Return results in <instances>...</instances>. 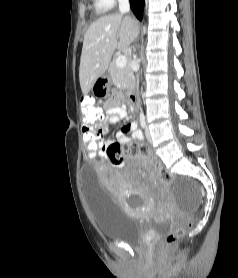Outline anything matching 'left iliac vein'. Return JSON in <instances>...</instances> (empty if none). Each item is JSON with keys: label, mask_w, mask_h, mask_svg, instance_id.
<instances>
[{"label": "left iliac vein", "mask_w": 238, "mask_h": 278, "mask_svg": "<svg viewBox=\"0 0 238 278\" xmlns=\"http://www.w3.org/2000/svg\"><path fill=\"white\" fill-rule=\"evenodd\" d=\"M145 135H146V138L148 139V141H151V134H150L149 128L147 126L145 129Z\"/></svg>", "instance_id": "4c4485c4"}]
</instances>
